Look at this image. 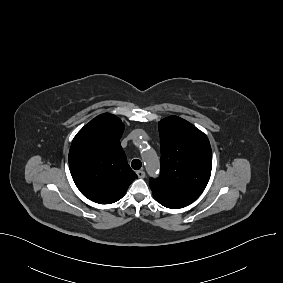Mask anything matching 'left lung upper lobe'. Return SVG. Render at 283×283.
<instances>
[{
	"instance_id": "1",
	"label": "left lung upper lobe",
	"mask_w": 283,
	"mask_h": 283,
	"mask_svg": "<svg viewBox=\"0 0 283 283\" xmlns=\"http://www.w3.org/2000/svg\"><path fill=\"white\" fill-rule=\"evenodd\" d=\"M161 174L150 179L155 199L171 209L194 202L211 175L212 151L207 136L188 121L170 116L159 123Z\"/></svg>"
}]
</instances>
